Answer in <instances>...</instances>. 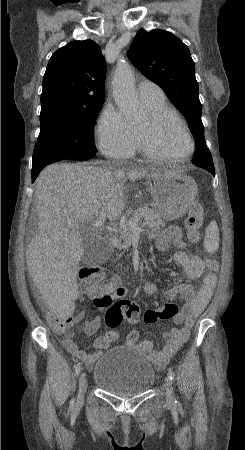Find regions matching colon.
Wrapping results in <instances>:
<instances>
[{
	"mask_svg": "<svg viewBox=\"0 0 245 450\" xmlns=\"http://www.w3.org/2000/svg\"><path fill=\"white\" fill-rule=\"evenodd\" d=\"M205 217V208L199 201H194L191 204L189 214L185 220V229L187 238L191 243H197L200 240V229ZM207 269L215 273L218 270V261L209 257L206 258ZM104 272L100 266L89 265L82 269L80 273V280L86 289H93L103 286ZM104 291H109L111 286L104 285ZM97 306L105 307V323L107 327L114 329L118 327L123 320L130 324L140 323V314L138 308L131 301H115L113 302L109 297L103 300H97ZM180 313L179 307L170 302L158 304L154 308L149 309L143 317L145 324H154L159 320L175 319ZM47 322L58 331H65L72 326V322L54 313H47L45 315ZM107 337L111 341L118 339V333L111 330L107 333Z\"/></svg>",
	"mask_w": 245,
	"mask_h": 450,
	"instance_id": "1",
	"label": "colon"
}]
</instances>
